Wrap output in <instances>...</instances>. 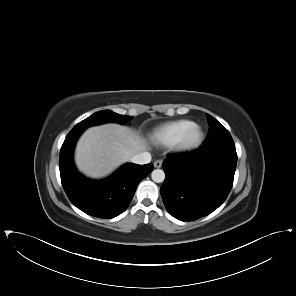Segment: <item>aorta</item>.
<instances>
[{"mask_svg": "<svg viewBox=\"0 0 296 296\" xmlns=\"http://www.w3.org/2000/svg\"><path fill=\"white\" fill-rule=\"evenodd\" d=\"M151 178L156 183H161L165 179V173L161 169H155L151 173Z\"/></svg>", "mask_w": 296, "mask_h": 296, "instance_id": "obj_1", "label": "aorta"}]
</instances>
